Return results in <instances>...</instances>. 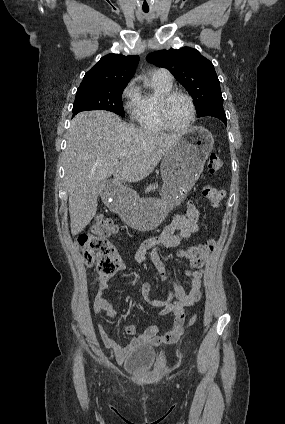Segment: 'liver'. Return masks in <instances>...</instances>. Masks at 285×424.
Returning a JSON list of instances; mask_svg holds the SVG:
<instances>
[{
	"label": "liver",
	"mask_w": 285,
	"mask_h": 424,
	"mask_svg": "<svg viewBox=\"0 0 285 424\" xmlns=\"http://www.w3.org/2000/svg\"><path fill=\"white\" fill-rule=\"evenodd\" d=\"M181 137L180 133L139 129L108 111L77 114L71 121L64 153L71 234L78 235L95 216L100 180L111 175L117 181L145 179ZM121 152L127 154L120 157Z\"/></svg>",
	"instance_id": "1"
}]
</instances>
